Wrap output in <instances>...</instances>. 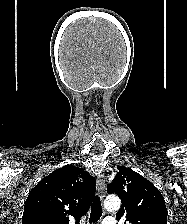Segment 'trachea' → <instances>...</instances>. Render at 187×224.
I'll return each mask as SVG.
<instances>
[{"mask_svg": "<svg viewBox=\"0 0 187 224\" xmlns=\"http://www.w3.org/2000/svg\"><path fill=\"white\" fill-rule=\"evenodd\" d=\"M101 216H102V206L100 202V197L96 195L91 204V213H90L89 222L95 223L100 219Z\"/></svg>", "mask_w": 187, "mask_h": 224, "instance_id": "obj_1", "label": "trachea"}]
</instances>
